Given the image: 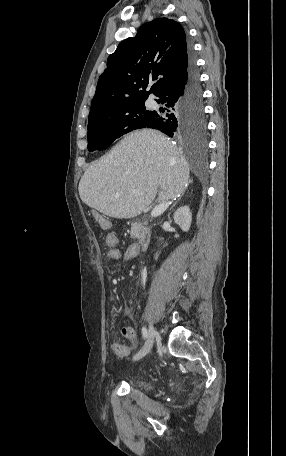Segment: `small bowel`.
I'll return each mask as SVG.
<instances>
[{
    "label": "small bowel",
    "mask_w": 286,
    "mask_h": 456,
    "mask_svg": "<svg viewBox=\"0 0 286 456\" xmlns=\"http://www.w3.org/2000/svg\"><path fill=\"white\" fill-rule=\"evenodd\" d=\"M118 237L115 233H108L106 236V245L109 250L106 254L107 258L114 261H126L137 257L140 253L139 247L136 244L129 245L125 250L118 248ZM121 334L131 343L135 341L136 332L132 327H124ZM113 350L116 355L125 357L129 355L131 347L121 343H114Z\"/></svg>",
    "instance_id": "1"
}]
</instances>
